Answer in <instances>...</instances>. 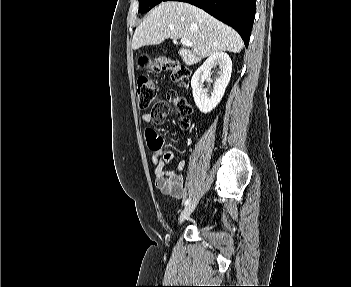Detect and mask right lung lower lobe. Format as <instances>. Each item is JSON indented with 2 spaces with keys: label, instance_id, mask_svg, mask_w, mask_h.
Listing matches in <instances>:
<instances>
[{
  "label": "right lung lower lobe",
  "instance_id": "right-lung-lower-lobe-1",
  "mask_svg": "<svg viewBox=\"0 0 351 287\" xmlns=\"http://www.w3.org/2000/svg\"><path fill=\"white\" fill-rule=\"evenodd\" d=\"M168 1V0H164ZM195 5L234 28L248 46L256 12V0H173Z\"/></svg>",
  "mask_w": 351,
  "mask_h": 287
}]
</instances>
